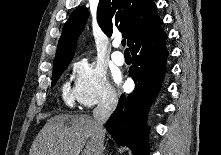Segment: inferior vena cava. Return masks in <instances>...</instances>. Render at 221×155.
Returning <instances> with one entry per match:
<instances>
[{"mask_svg":"<svg viewBox=\"0 0 221 155\" xmlns=\"http://www.w3.org/2000/svg\"><path fill=\"white\" fill-rule=\"evenodd\" d=\"M118 103L117 94L114 91H108L93 110V118L97 128V137L99 145L98 155H103L105 130L104 123L108 120Z\"/></svg>","mask_w":221,"mask_h":155,"instance_id":"1","label":"inferior vena cava"}]
</instances>
